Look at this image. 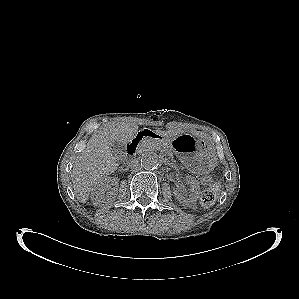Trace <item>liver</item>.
I'll return each instance as SVG.
<instances>
[{
	"label": "liver",
	"mask_w": 299,
	"mask_h": 299,
	"mask_svg": "<svg viewBox=\"0 0 299 299\" xmlns=\"http://www.w3.org/2000/svg\"><path fill=\"white\" fill-rule=\"evenodd\" d=\"M137 132L135 123H116L106 125L92 135L71 171L74 193L81 203L87 202L97 182L117 169L118 157L110 149L112 142L127 144ZM156 133L162 137H175L178 132L156 130Z\"/></svg>",
	"instance_id": "obj_1"
}]
</instances>
